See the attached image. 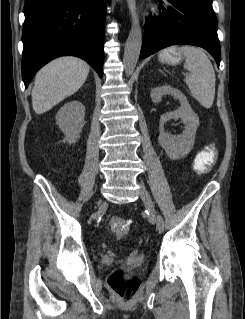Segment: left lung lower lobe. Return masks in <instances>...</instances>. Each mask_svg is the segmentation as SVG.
<instances>
[{"mask_svg":"<svg viewBox=\"0 0 245 319\" xmlns=\"http://www.w3.org/2000/svg\"><path fill=\"white\" fill-rule=\"evenodd\" d=\"M158 1L163 11L146 20L140 58L170 45L192 44L206 49L219 67L221 50L212 7L196 0Z\"/></svg>","mask_w":245,"mask_h":319,"instance_id":"0a47b994","label":"left lung lower lobe"}]
</instances>
